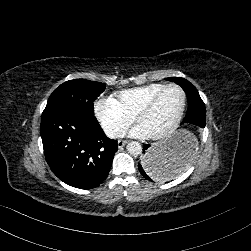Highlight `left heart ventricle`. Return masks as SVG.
Listing matches in <instances>:
<instances>
[{"instance_id":"obj_1","label":"left heart ventricle","mask_w":251,"mask_h":251,"mask_svg":"<svg viewBox=\"0 0 251 251\" xmlns=\"http://www.w3.org/2000/svg\"><path fill=\"white\" fill-rule=\"evenodd\" d=\"M183 102L184 96L181 91L174 88L168 89L151 110L138 115V120L145 123L156 134L178 119Z\"/></svg>"}]
</instances>
